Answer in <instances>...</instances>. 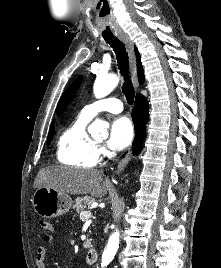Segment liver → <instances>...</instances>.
Segmentation results:
<instances>
[{
	"label": "liver",
	"mask_w": 221,
	"mask_h": 268,
	"mask_svg": "<svg viewBox=\"0 0 221 268\" xmlns=\"http://www.w3.org/2000/svg\"><path fill=\"white\" fill-rule=\"evenodd\" d=\"M34 188L48 187L72 195L91 194L101 198L112 189L108 179L96 169H77L62 166H50L40 169Z\"/></svg>",
	"instance_id": "1"
}]
</instances>
